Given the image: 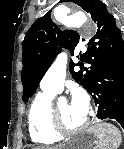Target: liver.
I'll use <instances>...</instances> for the list:
<instances>
[{
    "mask_svg": "<svg viewBox=\"0 0 124 149\" xmlns=\"http://www.w3.org/2000/svg\"><path fill=\"white\" fill-rule=\"evenodd\" d=\"M38 149H44V148H43V147H40V148H38ZM52 149H64V147L61 146V145H59V146H56V147H54V148H52Z\"/></svg>",
    "mask_w": 124,
    "mask_h": 149,
    "instance_id": "6515ba94",
    "label": "liver"
}]
</instances>
